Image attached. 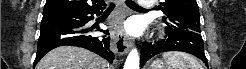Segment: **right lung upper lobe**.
<instances>
[{"mask_svg": "<svg viewBox=\"0 0 246 69\" xmlns=\"http://www.w3.org/2000/svg\"><path fill=\"white\" fill-rule=\"evenodd\" d=\"M104 7L103 0H47L43 15L59 11H89Z\"/></svg>", "mask_w": 246, "mask_h": 69, "instance_id": "obj_1", "label": "right lung upper lobe"}]
</instances>
